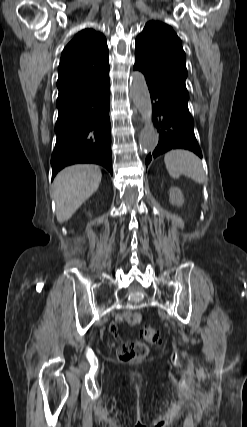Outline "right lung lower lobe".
Returning a JSON list of instances; mask_svg holds the SVG:
<instances>
[{
    "label": "right lung lower lobe",
    "instance_id": "obj_1",
    "mask_svg": "<svg viewBox=\"0 0 247 427\" xmlns=\"http://www.w3.org/2000/svg\"><path fill=\"white\" fill-rule=\"evenodd\" d=\"M109 76L87 88L59 96L52 179L64 167L95 163L112 174Z\"/></svg>",
    "mask_w": 247,
    "mask_h": 427
}]
</instances>
